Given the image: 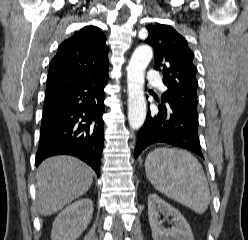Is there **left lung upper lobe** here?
<instances>
[{"mask_svg": "<svg viewBox=\"0 0 248 240\" xmlns=\"http://www.w3.org/2000/svg\"><path fill=\"white\" fill-rule=\"evenodd\" d=\"M144 41L154 48L155 69L162 70L168 90L163 102L197 107L196 67L187 41L169 25H148Z\"/></svg>", "mask_w": 248, "mask_h": 240, "instance_id": "left-lung-upper-lobe-1", "label": "left lung upper lobe"}]
</instances>
